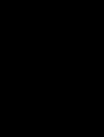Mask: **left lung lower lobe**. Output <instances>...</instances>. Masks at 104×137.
Here are the masks:
<instances>
[{
  "instance_id": "left-lung-lower-lobe-1",
  "label": "left lung lower lobe",
  "mask_w": 104,
  "mask_h": 137,
  "mask_svg": "<svg viewBox=\"0 0 104 137\" xmlns=\"http://www.w3.org/2000/svg\"><path fill=\"white\" fill-rule=\"evenodd\" d=\"M78 74L79 78L84 80L90 87L99 90H102L104 88L103 79L82 67L81 64L78 65Z\"/></svg>"
}]
</instances>
